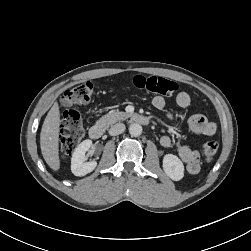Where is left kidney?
<instances>
[{
	"instance_id": "1",
	"label": "left kidney",
	"mask_w": 251,
	"mask_h": 251,
	"mask_svg": "<svg viewBox=\"0 0 251 251\" xmlns=\"http://www.w3.org/2000/svg\"><path fill=\"white\" fill-rule=\"evenodd\" d=\"M163 170L174 181H179L184 177V165L176 155L166 154L164 156Z\"/></svg>"
}]
</instances>
